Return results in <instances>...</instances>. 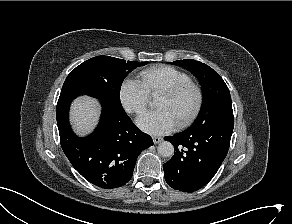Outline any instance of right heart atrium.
I'll return each mask as SVG.
<instances>
[{
	"mask_svg": "<svg viewBox=\"0 0 292 224\" xmlns=\"http://www.w3.org/2000/svg\"><path fill=\"white\" fill-rule=\"evenodd\" d=\"M120 102L126 112L141 114L147 107L150 96L143 84L136 79H125L119 89Z\"/></svg>",
	"mask_w": 292,
	"mask_h": 224,
	"instance_id": "1",
	"label": "right heart atrium"
}]
</instances>
